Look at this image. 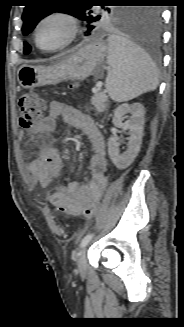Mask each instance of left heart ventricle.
Instances as JSON below:
<instances>
[{"instance_id": "1", "label": "left heart ventricle", "mask_w": 184, "mask_h": 327, "mask_svg": "<svg viewBox=\"0 0 184 327\" xmlns=\"http://www.w3.org/2000/svg\"><path fill=\"white\" fill-rule=\"evenodd\" d=\"M68 35V26L61 19H50L43 23L38 32L41 46L52 48L61 44Z\"/></svg>"}]
</instances>
